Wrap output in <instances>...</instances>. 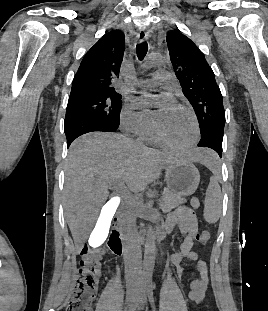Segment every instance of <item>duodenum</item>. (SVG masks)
<instances>
[{"label":"duodenum","instance_id":"410a0bca","mask_svg":"<svg viewBox=\"0 0 268 311\" xmlns=\"http://www.w3.org/2000/svg\"><path fill=\"white\" fill-rule=\"evenodd\" d=\"M112 230L110 232L108 238V247L114 254L121 255L127 251L129 246V241L122 235L118 228V218H114L112 221ZM164 237V232L161 229L156 230L153 235L152 239L160 240ZM144 238H139L138 243L142 242Z\"/></svg>","mask_w":268,"mask_h":311}]
</instances>
